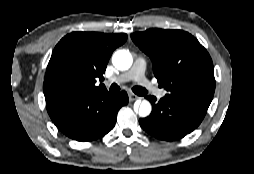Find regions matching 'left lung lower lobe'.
Instances as JSON below:
<instances>
[{"instance_id": "obj_1", "label": "left lung lower lobe", "mask_w": 254, "mask_h": 174, "mask_svg": "<svg viewBox=\"0 0 254 174\" xmlns=\"http://www.w3.org/2000/svg\"><path fill=\"white\" fill-rule=\"evenodd\" d=\"M152 104V112L139 120L140 126L150 135L165 141L183 138L202 122L207 107L191 101H176L166 96L156 102L154 96H146Z\"/></svg>"}]
</instances>
